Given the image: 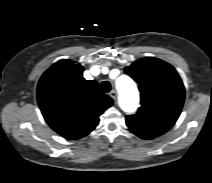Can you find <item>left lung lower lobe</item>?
<instances>
[{"label":"left lung lower lobe","mask_w":212,"mask_h":183,"mask_svg":"<svg viewBox=\"0 0 212 183\" xmlns=\"http://www.w3.org/2000/svg\"><path fill=\"white\" fill-rule=\"evenodd\" d=\"M140 138H142V137H140ZM143 139H149V138H143Z\"/></svg>","instance_id":"0a47b994"}]
</instances>
